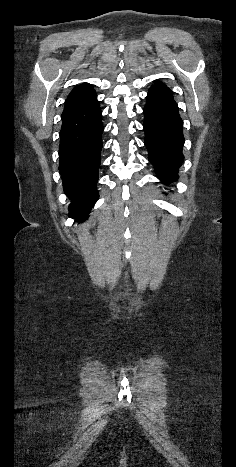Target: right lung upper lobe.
Segmentation results:
<instances>
[{
	"label": "right lung upper lobe",
	"instance_id": "right-lung-upper-lobe-1",
	"mask_svg": "<svg viewBox=\"0 0 236 467\" xmlns=\"http://www.w3.org/2000/svg\"><path fill=\"white\" fill-rule=\"evenodd\" d=\"M96 98V93L91 84L77 85L68 95L62 115L76 111Z\"/></svg>",
	"mask_w": 236,
	"mask_h": 467
}]
</instances>
